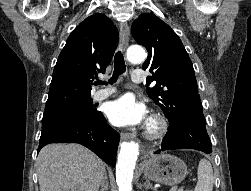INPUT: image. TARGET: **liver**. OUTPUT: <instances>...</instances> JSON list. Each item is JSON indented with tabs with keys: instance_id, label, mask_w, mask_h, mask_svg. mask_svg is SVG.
<instances>
[{
	"instance_id": "liver-1",
	"label": "liver",
	"mask_w": 251,
	"mask_h": 191,
	"mask_svg": "<svg viewBox=\"0 0 251 191\" xmlns=\"http://www.w3.org/2000/svg\"><path fill=\"white\" fill-rule=\"evenodd\" d=\"M40 191H98L104 161L79 143H48L36 159Z\"/></svg>"
}]
</instances>
